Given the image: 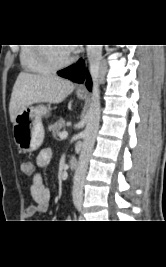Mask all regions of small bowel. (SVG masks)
Wrapping results in <instances>:
<instances>
[{
    "instance_id": "small-bowel-1",
    "label": "small bowel",
    "mask_w": 166,
    "mask_h": 267,
    "mask_svg": "<svg viewBox=\"0 0 166 267\" xmlns=\"http://www.w3.org/2000/svg\"><path fill=\"white\" fill-rule=\"evenodd\" d=\"M52 159V150L49 148L42 149L35 159V168L32 172L31 196L34 200V205L30 206L25 211L27 218L33 217L39 213H45L50 206L51 191L45 185L41 169L46 167Z\"/></svg>"
}]
</instances>
